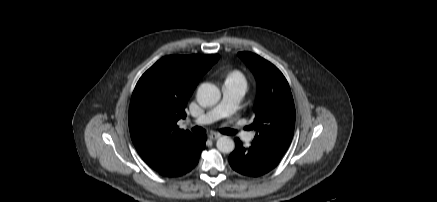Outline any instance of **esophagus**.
<instances>
[{
	"mask_svg": "<svg viewBox=\"0 0 437 202\" xmlns=\"http://www.w3.org/2000/svg\"><path fill=\"white\" fill-rule=\"evenodd\" d=\"M220 137H221V135L218 134V133H211V134L209 135V138H210L211 140H216V139H218V138H220Z\"/></svg>",
	"mask_w": 437,
	"mask_h": 202,
	"instance_id": "esophagus-1",
	"label": "esophagus"
}]
</instances>
